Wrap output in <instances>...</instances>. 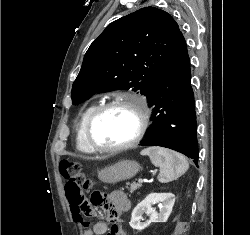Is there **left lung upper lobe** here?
Returning a JSON list of instances; mask_svg holds the SVG:
<instances>
[{"label":"left lung upper lobe","mask_w":250,"mask_h":235,"mask_svg":"<svg viewBox=\"0 0 250 235\" xmlns=\"http://www.w3.org/2000/svg\"><path fill=\"white\" fill-rule=\"evenodd\" d=\"M180 29L171 15L141 8L109 24L87 50L73 83L77 105L95 93L148 90L173 47Z\"/></svg>","instance_id":"1"}]
</instances>
